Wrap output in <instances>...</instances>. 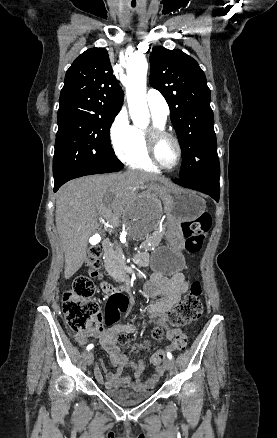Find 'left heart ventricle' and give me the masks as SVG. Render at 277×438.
<instances>
[{
	"label": "left heart ventricle",
	"instance_id": "b2bd125f",
	"mask_svg": "<svg viewBox=\"0 0 277 438\" xmlns=\"http://www.w3.org/2000/svg\"><path fill=\"white\" fill-rule=\"evenodd\" d=\"M158 155L165 166L171 167L177 158V149L174 142L168 138L163 139L159 145Z\"/></svg>",
	"mask_w": 277,
	"mask_h": 438
}]
</instances>
